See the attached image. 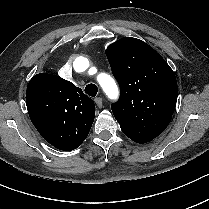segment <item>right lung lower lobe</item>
<instances>
[{"instance_id": "obj_1", "label": "right lung lower lobe", "mask_w": 209, "mask_h": 209, "mask_svg": "<svg viewBox=\"0 0 209 209\" xmlns=\"http://www.w3.org/2000/svg\"><path fill=\"white\" fill-rule=\"evenodd\" d=\"M52 145H53V144H52ZM53 146H54V145H53ZM54 147H56V148L62 150V149H64V148H66V145H65V144H59V145H56V146H54Z\"/></svg>"}]
</instances>
